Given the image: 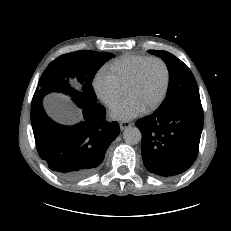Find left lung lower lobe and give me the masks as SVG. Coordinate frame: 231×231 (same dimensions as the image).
<instances>
[{
  "label": "left lung lower lobe",
  "instance_id": "0a47b994",
  "mask_svg": "<svg viewBox=\"0 0 231 231\" xmlns=\"http://www.w3.org/2000/svg\"><path fill=\"white\" fill-rule=\"evenodd\" d=\"M201 101H186L169 111L139 119L142 158L146 169L162 178L186 171L198 155L203 129Z\"/></svg>",
  "mask_w": 231,
  "mask_h": 231
}]
</instances>
